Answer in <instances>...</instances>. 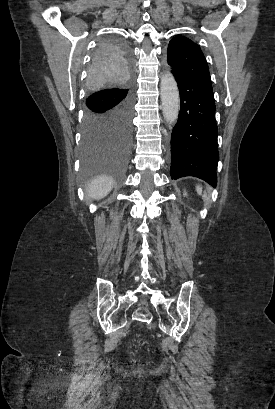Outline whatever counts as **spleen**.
Here are the masks:
<instances>
[{"label": "spleen", "instance_id": "spleen-1", "mask_svg": "<svg viewBox=\"0 0 275 409\" xmlns=\"http://www.w3.org/2000/svg\"><path fill=\"white\" fill-rule=\"evenodd\" d=\"M196 190H197L198 194H202V186H200V184H197ZM204 200H208V196H207L206 192L204 194Z\"/></svg>", "mask_w": 275, "mask_h": 409}]
</instances>
